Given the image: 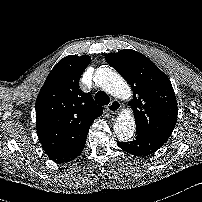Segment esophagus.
<instances>
[{
	"label": "esophagus",
	"mask_w": 202,
	"mask_h": 202,
	"mask_svg": "<svg viewBox=\"0 0 202 202\" xmlns=\"http://www.w3.org/2000/svg\"><path fill=\"white\" fill-rule=\"evenodd\" d=\"M121 104L118 101H112L107 107V111L111 114H116L120 111Z\"/></svg>",
	"instance_id": "1"
}]
</instances>
